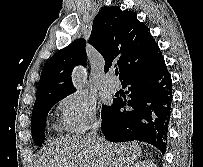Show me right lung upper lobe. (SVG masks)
Segmentation results:
<instances>
[{
    "label": "right lung upper lobe",
    "instance_id": "1",
    "mask_svg": "<svg viewBox=\"0 0 203 167\" xmlns=\"http://www.w3.org/2000/svg\"><path fill=\"white\" fill-rule=\"evenodd\" d=\"M89 42L104 57V71L116 67L122 81L128 75L153 67L163 59L149 28L137 20L136 13L115 6L99 11L93 20ZM86 61L84 39H77L55 53L42 69L34 106L74 93L72 70L77 65L85 66Z\"/></svg>",
    "mask_w": 203,
    "mask_h": 167
}]
</instances>
